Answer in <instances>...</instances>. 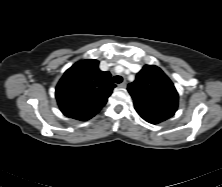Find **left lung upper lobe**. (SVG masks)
<instances>
[{
    "mask_svg": "<svg viewBox=\"0 0 222 187\" xmlns=\"http://www.w3.org/2000/svg\"><path fill=\"white\" fill-rule=\"evenodd\" d=\"M137 111L173 116L178 107V93L171 80L157 66L145 65L128 85Z\"/></svg>",
    "mask_w": 222,
    "mask_h": 187,
    "instance_id": "1",
    "label": "left lung upper lobe"
}]
</instances>
